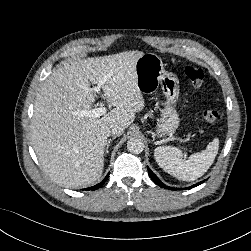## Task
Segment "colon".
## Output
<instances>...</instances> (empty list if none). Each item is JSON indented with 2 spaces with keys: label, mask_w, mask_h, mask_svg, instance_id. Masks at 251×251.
I'll use <instances>...</instances> for the list:
<instances>
[{
  "label": "colon",
  "mask_w": 251,
  "mask_h": 251,
  "mask_svg": "<svg viewBox=\"0 0 251 251\" xmlns=\"http://www.w3.org/2000/svg\"><path fill=\"white\" fill-rule=\"evenodd\" d=\"M185 75L191 81L193 86L200 88L204 82L205 71L201 67L188 65L185 67ZM218 112L213 108H206L202 112V117L207 123H214L218 119Z\"/></svg>",
  "instance_id": "5ec220e1"
}]
</instances>
